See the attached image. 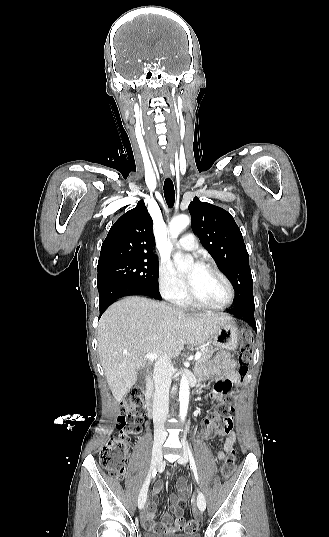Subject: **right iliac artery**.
I'll return each mask as SVG.
<instances>
[{"instance_id":"82829eb1","label":"right iliac artery","mask_w":329,"mask_h":537,"mask_svg":"<svg viewBox=\"0 0 329 537\" xmlns=\"http://www.w3.org/2000/svg\"><path fill=\"white\" fill-rule=\"evenodd\" d=\"M157 474V468L155 467L154 470L152 471V477L156 476Z\"/></svg>"}]
</instances>
